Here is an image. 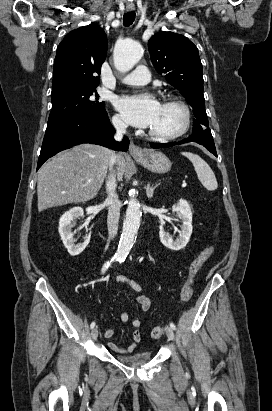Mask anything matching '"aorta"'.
<instances>
[{"label":"aorta","mask_w":272,"mask_h":411,"mask_svg":"<svg viewBox=\"0 0 272 411\" xmlns=\"http://www.w3.org/2000/svg\"><path fill=\"white\" fill-rule=\"evenodd\" d=\"M142 55L143 48L138 42H122L114 49V65L118 71L125 73L133 68ZM141 216L142 212L139 202L136 198H130L123 222L121 238L115 253V258L118 261H124L129 254L140 226Z\"/></svg>","instance_id":"aorta-1"}]
</instances>
